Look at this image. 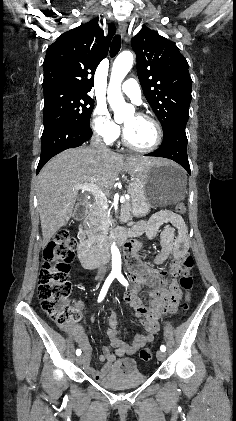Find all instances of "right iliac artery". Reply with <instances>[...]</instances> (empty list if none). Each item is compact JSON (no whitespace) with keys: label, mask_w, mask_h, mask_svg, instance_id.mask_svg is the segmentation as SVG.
<instances>
[{"label":"right iliac artery","mask_w":236,"mask_h":421,"mask_svg":"<svg viewBox=\"0 0 236 421\" xmlns=\"http://www.w3.org/2000/svg\"><path fill=\"white\" fill-rule=\"evenodd\" d=\"M115 277H116V274H114V273H111L107 277V279L105 280L104 285H103V287H102V289L100 291V294H99V297H98V302H101L104 299V297H105V295H106V293L108 291V288H109L110 284L112 283V281L114 280ZM76 355L77 356L81 355V350L80 349H77L76 350Z\"/></svg>","instance_id":"82829eb1"}]
</instances>
